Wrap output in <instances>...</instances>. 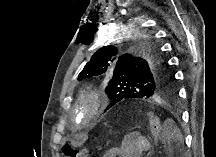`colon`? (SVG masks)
<instances>
[{"instance_id":"1","label":"colon","mask_w":216,"mask_h":157,"mask_svg":"<svg viewBox=\"0 0 216 157\" xmlns=\"http://www.w3.org/2000/svg\"><path fill=\"white\" fill-rule=\"evenodd\" d=\"M149 126L152 133L157 134L159 131V119L152 113H148ZM63 157H85V153L68 144L62 147Z\"/></svg>"}]
</instances>
